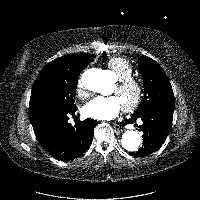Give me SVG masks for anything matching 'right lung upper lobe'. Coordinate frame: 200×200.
<instances>
[{"label":"right lung upper lobe","mask_w":200,"mask_h":200,"mask_svg":"<svg viewBox=\"0 0 200 200\" xmlns=\"http://www.w3.org/2000/svg\"><path fill=\"white\" fill-rule=\"evenodd\" d=\"M91 54H71L54 59L46 64L37 78L59 77L79 71Z\"/></svg>","instance_id":"1"}]
</instances>
